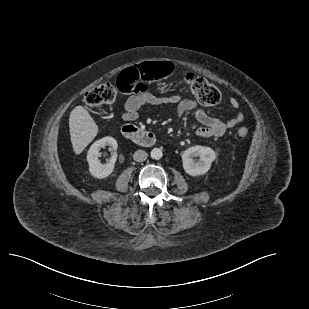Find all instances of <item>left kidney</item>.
Masks as SVG:
<instances>
[{"label": "left kidney", "instance_id": "1", "mask_svg": "<svg viewBox=\"0 0 309 309\" xmlns=\"http://www.w3.org/2000/svg\"><path fill=\"white\" fill-rule=\"evenodd\" d=\"M193 156H199V160L194 161ZM215 159V151L206 146H192L182 153L183 169L187 174L194 177L206 174Z\"/></svg>", "mask_w": 309, "mask_h": 309}]
</instances>
